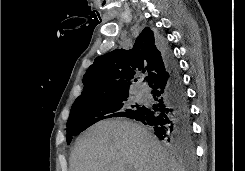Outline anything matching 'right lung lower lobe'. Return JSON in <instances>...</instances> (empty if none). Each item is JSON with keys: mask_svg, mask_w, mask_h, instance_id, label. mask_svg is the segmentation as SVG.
I'll return each instance as SVG.
<instances>
[{"mask_svg": "<svg viewBox=\"0 0 245 171\" xmlns=\"http://www.w3.org/2000/svg\"><path fill=\"white\" fill-rule=\"evenodd\" d=\"M158 43L167 74L150 86L156 104L141 106L140 112L131 119L150 125L155 135L171 146L191 147L190 108L179 66L167 43Z\"/></svg>", "mask_w": 245, "mask_h": 171, "instance_id": "98d812e1", "label": "right lung lower lobe"}]
</instances>
